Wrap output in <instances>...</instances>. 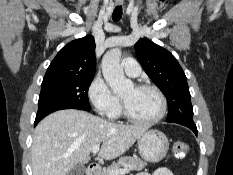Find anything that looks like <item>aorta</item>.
Listing matches in <instances>:
<instances>
[{
    "mask_svg": "<svg viewBox=\"0 0 233 175\" xmlns=\"http://www.w3.org/2000/svg\"><path fill=\"white\" fill-rule=\"evenodd\" d=\"M102 72L114 93L123 92L133 87L132 81L124 75L119 48L111 49L105 53L102 59Z\"/></svg>",
    "mask_w": 233,
    "mask_h": 175,
    "instance_id": "obj_1",
    "label": "aorta"
}]
</instances>
